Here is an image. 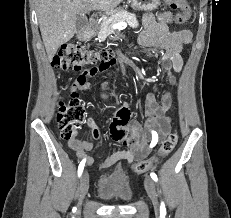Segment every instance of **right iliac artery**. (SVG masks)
Masks as SVG:
<instances>
[{"mask_svg":"<svg viewBox=\"0 0 231 218\" xmlns=\"http://www.w3.org/2000/svg\"><path fill=\"white\" fill-rule=\"evenodd\" d=\"M85 162H86L85 159H83V160L80 162L79 167H78V176H80V175L82 174L83 169H84V166H85Z\"/></svg>","mask_w":231,"mask_h":218,"instance_id":"right-iliac-artery-1","label":"right iliac artery"}]
</instances>
